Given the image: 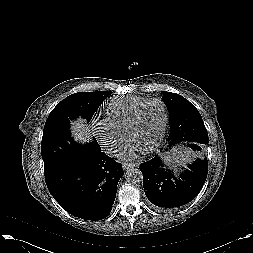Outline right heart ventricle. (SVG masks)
<instances>
[{"instance_id": "obj_1", "label": "right heart ventricle", "mask_w": 253, "mask_h": 253, "mask_svg": "<svg viewBox=\"0 0 253 253\" xmlns=\"http://www.w3.org/2000/svg\"><path fill=\"white\" fill-rule=\"evenodd\" d=\"M146 100L148 98L139 96H122L112 99L107 106L108 120L117 130L124 133L134 112Z\"/></svg>"}]
</instances>
